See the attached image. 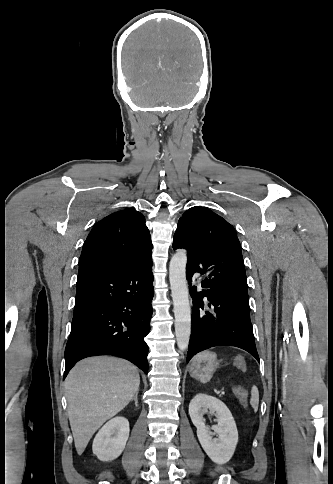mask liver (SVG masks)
I'll return each mask as SVG.
<instances>
[{
	"label": "liver",
	"mask_w": 333,
	"mask_h": 484,
	"mask_svg": "<svg viewBox=\"0 0 333 484\" xmlns=\"http://www.w3.org/2000/svg\"><path fill=\"white\" fill-rule=\"evenodd\" d=\"M139 384L137 368L120 358H87L72 368L65 380V390L79 455L101 425L129 403Z\"/></svg>",
	"instance_id": "liver-1"
}]
</instances>
